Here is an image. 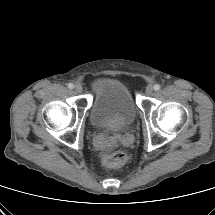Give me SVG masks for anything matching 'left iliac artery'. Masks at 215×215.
<instances>
[{"mask_svg": "<svg viewBox=\"0 0 215 215\" xmlns=\"http://www.w3.org/2000/svg\"><path fill=\"white\" fill-rule=\"evenodd\" d=\"M153 88H154L155 91H158L160 89V85L159 84H155Z\"/></svg>", "mask_w": 215, "mask_h": 215, "instance_id": "left-iliac-artery-1", "label": "left iliac artery"}]
</instances>
